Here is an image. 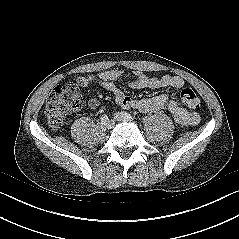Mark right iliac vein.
<instances>
[{"instance_id":"1","label":"right iliac vein","mask_w":239,"mask_h":239,"mask_svg":"<svg viewBox=\"0 0 239 239\" xmlns=\"http://www.w3.org/2000/svg\"><path fill=\"white\" fill-rule=\"evenodd\" d=\"M104 125L107 129H112L114 126V122L112 120H108Z\"/></svg>"}]
</instances>
